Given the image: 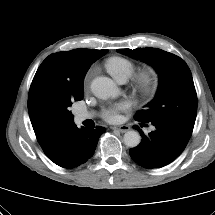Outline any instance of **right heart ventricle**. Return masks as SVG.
<instances>
[{
    "instance_id": "right-heart-ventricle-1",
    "label": "right heart ventricle",
    "mask_w": 215,
    "mask_h": 215,
    "mask_svg": "<svg viewBox=\"0 0 215 215\" xmlns=\"http://www.w3.org/2000/svg\"><path fill=\"white\" fill-rule=\"evenodd\" d=\"M104 66L107 72L118 82L127 81L136 69L135 62L123 56L108 58Z\"/></svg>"
}]
</instances>
